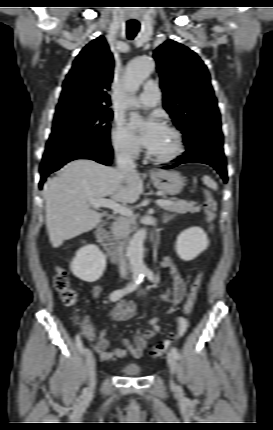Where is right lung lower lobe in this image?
I'll return each instance as SVG.
<instances>
[{
    "label": "right lung lower lobe",
    "instance_id": "obj_1",
    "mask_svg": "<svg viewBox=\"0 0 273 430\" xmlns=\"http://www.w3.org/2000/svg\"><path fill=\"white\" fill-rule=\"evenodd\" d=\"M112 155L113 152L111 147L105 149L84 148L70 151L47 160H43L40 166L41 180L39 182V188H42L46 177L50 173L58 170L60 167H62L69 161L75 159H91L104 165H110Z\"/></svg>",
    "mask_w": 273,
    "mask_h": 430
}]
</instances>
